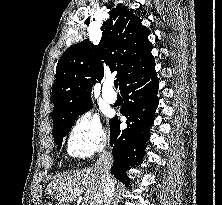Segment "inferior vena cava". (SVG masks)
Masks as SVG:
<instances>
[{
  "label": "inferior vena cava",
  "instance_id": "obj_1",
  "mask_svg": "<svg viewBox=\"0 0 222 205\" xmlns=\"http://www.w3.org/2000/svg\"><path fill=\"white\" fill-rule=\"evenodd\" d=\"M113 157L110 152L104 151L96 162V170L98 171L103 192L100 195L99 205H110L114 195V182L110 175V169L112 167Z\"/></svg>",
  "mask_w": 222,
  "mask_h": 205
}]
</instances>
